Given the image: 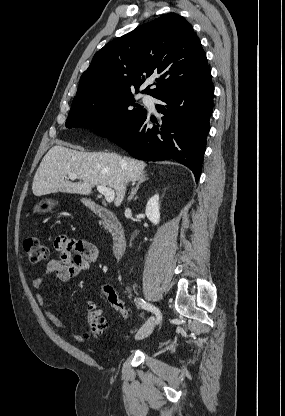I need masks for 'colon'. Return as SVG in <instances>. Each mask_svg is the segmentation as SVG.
<instances>
[{
	"label": "colon",
	"mask_w": 285,
	"mask_h": 416,
	"mask_svg": "<svg viewBox=\"0 0 285 416\" xmlns=\"http://www.w3.org/2000/svg\"><path fill=\"white\" fill-rule=\"evenodd\" d=\"M23 245L28 260L32 265H38L48 259L49 251L47 247L39 241L38 238L28 237L24 241ZM102 292L113 309L126 319L129 313L128 308L125 303L118 297L113 287L106 285L103 287ZM87 320L89 334L93 336L101 334L107 326L106 320L102 316L101 310L92 303L88 304L87 306Z\"/></svg>",
	"instance_id": "colon-1"
}]
</instances>
